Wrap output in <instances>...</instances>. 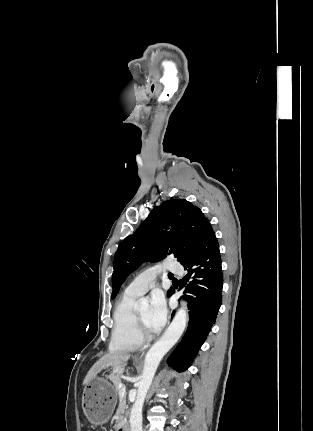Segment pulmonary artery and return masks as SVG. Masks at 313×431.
Segmentation results:
<instances>
[{"label":"pulmonary artery","mask_w":313,"mask_h":431,"mask_svg":"<svg viewBox=\"0 0 313 431\" xmlns=\"http://www.w3.org/2000/svg\"><path fill=\"white\" fill-rule=\"evenodd\" d=\"M182 274L183 267L174 260H167L163 265L152 266L141 272L125 289V293L140 296L146 293L155 283V279L162 271Z\"/></svg>","instance_id":"1"}]
</instances>
